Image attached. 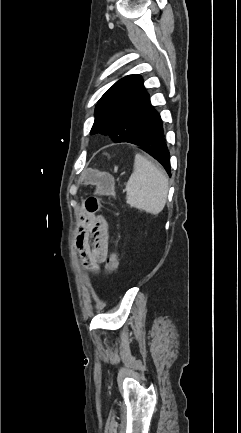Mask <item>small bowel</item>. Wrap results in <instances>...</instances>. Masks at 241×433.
<instances>
[{"label": "small bowel", "instance_id": "small-bowel-1", "mask_svg": "<svg viewBox=\"0 0 241 433\" xmlns=\"http://www.w3.org/2000/svg\"><path fill=\"white\" fill-rule=\"evenodd\" d=\"M89 198L82 204L77 217L76 245L83 267L98 273L100 264L107 260L109 230L106 219L88 208Z\"/></svg>", "mask_w": 241, "mask_h": 433}]
</instances>
